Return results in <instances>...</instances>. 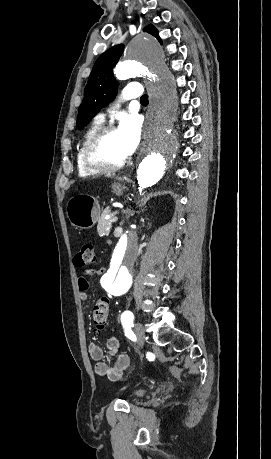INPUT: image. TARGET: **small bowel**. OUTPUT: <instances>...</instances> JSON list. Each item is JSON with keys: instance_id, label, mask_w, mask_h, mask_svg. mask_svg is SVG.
I'll return each mask as SVG.
<instances>
[{"instance_id": "obj_1", "label": "small bowel", "mask_w": 271, "mask_h": 459, "mask_svg": "<svg viewBox=\"0 0 271 459\" xmlns=\"http://www.w3.org/2000/svg\"><path fill=\"white\" fill-rule=\"evenodd\" d=\"M103 272L102 268L87 269L82 276L78 278L77 285L81 301L88 299L89 279L92 276L99 275ZM90 357L96 361L95 373L102 378H108L113 382L121 379L126 369L129 367V358L127 355L120 353L119 342L116 337L111 336L106 342V351L98 345L91 343L88 347ZM108 356L114 359L113 365L109 366L103 361Z\"/></svg>"}]
</instances>
